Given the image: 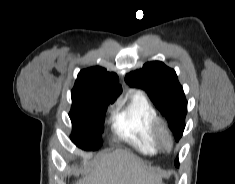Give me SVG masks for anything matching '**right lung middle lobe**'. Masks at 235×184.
<instances>
[{"mask_svg":"<svg viewBox=\"0 0 235 184\" xmlns=\"http://www.w3.org/2000/svg\"><path fill=\"white\" fill-rule=\"evenodd\" d=\"M72 107L69 113L73 125L71 140L84 150H96L103 141V116L108 105L90 106L78 95H72Z\"/></svg>","mask_w":235,"mask_h":184,"instance_id":"dd1d6c3e","label":"right lung middle lobe"}]
</instances>
